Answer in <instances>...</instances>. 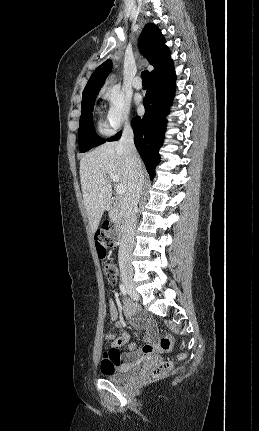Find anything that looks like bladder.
I'll list each match as a JSON object with an SVG mask.
<instances>
[{
	"mask_svg": "<svg viewBox=\"0 0 259 431\" xmlns=\"http://www.w3.org/2000/svg\"><path fill=\"white\" fill-rule=\"evenodd\" d=\"M139 371L137 364L124 365L110 372H105L104 377L113 383H122Z\"/></svg>",
	"mask_w": 259,
	"mask_h": 431,
	"instance_id": "bladder-1",
	"label": "bladder"
}]
</instances>
